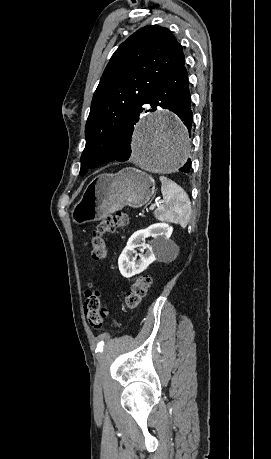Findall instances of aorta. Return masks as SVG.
<instances>
[{"label": "aorta", "instance_id": "1", "mask_svg": "<svg viewBox=\"0 0 271 459\" xmlns=\"http://www.w3.org/2000/svg\"><path fill=\"white\" fill-rule=\"evenodd\" d=\"M191 140L186 128L164 111L149 114L138 124L132 139V159L141 169L170 173L190 156Z\"/></svg>", "mask_w": 271, "mask_h": 459}]
</instances>
